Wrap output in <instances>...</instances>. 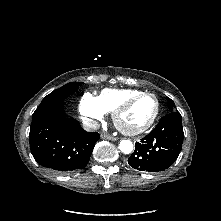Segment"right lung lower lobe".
Listing matches in <instances>:
<instances>
[{
  "label": "right lung lower lobe",
  "mask_w": 221,
  "mask_h": 221,
  "mask_svg": "<svg viewBox=\"0 0 221 221\" xmlns=\"http://www.w3.org/2000/svg\"><path fill=\"white\" fill-rule=\"evenodd\" d=\"M63 101L36 109L29 142L34 159L60 173L83 169L100 135L83 130L79 122L66 118Z\"/></svg>",
  "instance_id": "98d812e1"
}]
</instances>
